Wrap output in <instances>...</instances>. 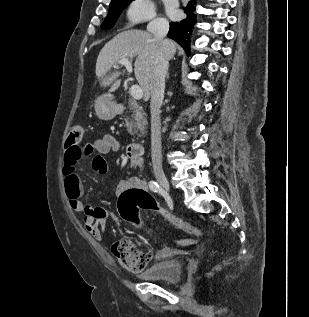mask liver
<instances>
[{
	"instance_id": "liver-1",
	"label": "liver",
	"mask_w": 309,
	"mask_h": 317,
	"mask_svg": "<svg viewBox=\"0 0 309 317\" xmlns=\"http://www.w3.org/2000/svg\"><path fill=\"white\" fill-rule=\"evenodd\" d=\"M173 43V42H172ZM172 57L176 52V46ZM161 44L154 36L142 30H128L119 33L111 39L100 51L96 62V75L101 86L111 85L109 92L117 90L121 79H117L121 72L115 71L111 74V68L121 59H133L135 78L143 91L144 100L151 96L152 82L156 59Z\"/></svg>"
}]
</instances>
